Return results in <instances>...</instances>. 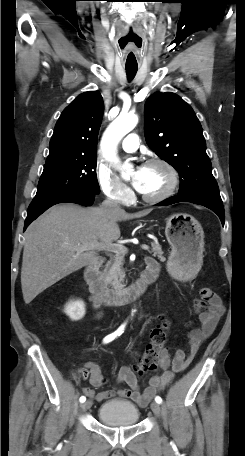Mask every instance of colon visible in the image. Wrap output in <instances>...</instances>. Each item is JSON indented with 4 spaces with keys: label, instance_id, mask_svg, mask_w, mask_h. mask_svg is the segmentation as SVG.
Instances as JSON below:
<instances>
[{
    "label": "colon",
    "instance_id": "colon-1",
    "mask_svg": "<svg viewBox=\"0 0 245 456\" xmlns=\"http://www.w3.org/2000/svg\"><path fill=\"white\" fill-rule=\"evenodd\" d=\"M168 328L169 322L166 319H162L161 322L152 329L150 341L145 347L144 354L138 364L133 368L138 376L153 371L160 363L164 346L167 341Z\"/></svg>",
    "mask_w": 245,
    "mask_h": 456
}]
</instances>
